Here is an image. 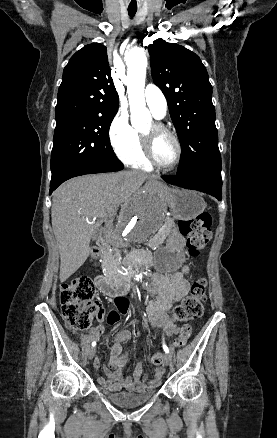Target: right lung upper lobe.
Here are the masks:
<instances>
[{
    "label": "right lung upper lobe",
    "mask_w": 277,
    "mask_h": 438,
    "mask_svg": "<svg viewBox=\"0 0 277 438\" xmlns=\"http://www.w3.org/2000/svg\"><path fill=\"white\" fill-rule=\"evenodd\" d=\"M57 100L56 116H115L119 99L105 46L89 44L71 57L63 71Z\"/></svg>",
    "instance_id": "right-lung-upper-lobe-1"
}]
</instances>
